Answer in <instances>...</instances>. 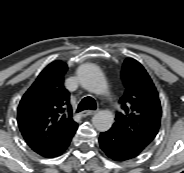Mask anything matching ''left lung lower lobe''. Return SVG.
<instances>
[{"label": "left lung lower lobe", "mask_w": 184, "mask_h": 173, "mask_svg": "<svg viewBox=\"0 0 184 173\" xmlns=\"http://www.w3.org/2000/svg\"><path fill=\"white\" fill-rule=\"evenodd\" d=\"M99 144L104 153L110 159L117 162L133 159L141 153L127 139L112 128L101 133Z\"/></svg>", "instance_id": "left-lung-lower-lobe-1"}]
</instances>
